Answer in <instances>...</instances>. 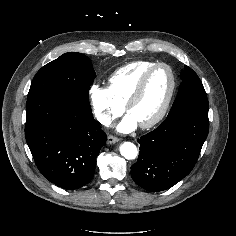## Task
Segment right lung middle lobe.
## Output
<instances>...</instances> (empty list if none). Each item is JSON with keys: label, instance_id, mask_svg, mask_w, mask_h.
Returning a JSON list of instances; mask_svg holds the SVG:
<instances>
[{"label": "right lung middle lobe", "instance_id": "dd1d6c3e", "mask_svg": "<svg viewBox=\"0 0 236 236\" xmlns=\"http://www.w3.org/2000/svg\"><path fill=\"white\" fill-rule=\"evenodd\" d=\"M96 74L88 57L69 52L42 67L35 75L27 99L52 95L88 101Z\"/></svg>", "mask_w": 236, "mask_h": 236}]
</instances>
